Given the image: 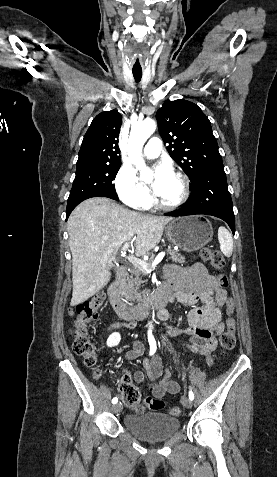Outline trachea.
<instances>
[{
	"mask_svg": "<svg viewBox=\"0 0 277 477\" xmlns=\"http://www.w3.org/2000/svg\"><path fill=\"white\" fill-rule=\"evenodd\" d=\"M133 73V76H134V79L137 83L140 82L141 78H142V71L139 70V71H132Z\"/></svg>",
	"mask_w": 277,
	"mask_h": 477,
	"instance_id": "obj_1",
	"label": "trachea"
}]
</instances>
